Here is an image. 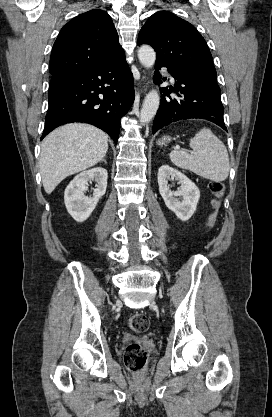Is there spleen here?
I'll return each mask as SVG.
<instances>
[{"mask_svg":"<svg viewBox=\"0 0 272 417\" xmlns=\"http://www.w3.org/2000/svg\"><path fill=\"white\" fill-rule=\"evenodd\" d=\"M191 153L173 150V164L214 182L224 181L230 170L229 156L224 143L210 129L203 128L190 140Z\"/></svg>","mask_w":272,"mask_h":417,"instance_id":"spleen-1","label":"spleen"}]
</instances>
